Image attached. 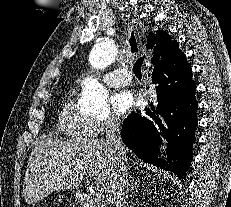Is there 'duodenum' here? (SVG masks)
<instances>
[{"label": "duodenum", "mask_w": 231, "mask_h": 207, "mask_svg": "<svg viewBox=\"0 0 231 207\" xmlns=\"http://www.w3.org/2000/svg\"><path fill=\"white\" fill-rule=\"evenodd\" d=\"M78 197L82 207H96V202L91 195L87 193H79Z\"/></svg>", "instance_id": "410a0bca"}]
</instances>
